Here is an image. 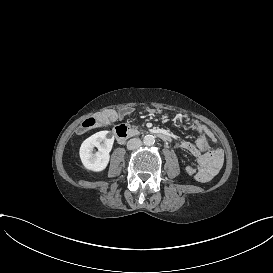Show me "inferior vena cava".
Masks as SVG:
<instances>
[{
    "mask_svg": "<svg viewBox=\"0 0 273 273\" xmlns=\"http://www.w3.org/2000/svg\"><path fill=\"white\" fill-rule=\"evenodd\" d=\"M142 146V141L139 138H132L127 142V148L129 150L138 149Z\"/></svg>",
    "mask_w": 273,
    "mask_h": 273,
    "instance_id": "1",
    "label": "inferior vena cava"
}]
</instances>
